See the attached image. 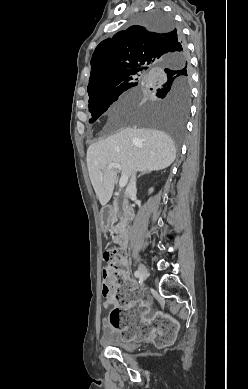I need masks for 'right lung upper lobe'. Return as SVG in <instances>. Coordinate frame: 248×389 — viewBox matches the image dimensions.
<instances>
[{"mask_svg": "<svg viewBox=\"0 0 248 389\" xmlns=\"http://www.w3.org/2000/svg\"><path fill=\"white\" fill-rule=\"evenodd\" d=\"M180 34L176 28L157 31L135 25L105 39L91 58L88 94L110 85L122 75L156 68L171 58L188 62L184 42L178 46Z\"/></svg>", "mask_w": 248, "mask_h": 389, "instance_id": "obj_1", "label": "right lung upper lobe"}]
</instances>
